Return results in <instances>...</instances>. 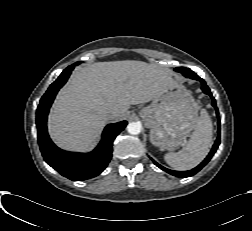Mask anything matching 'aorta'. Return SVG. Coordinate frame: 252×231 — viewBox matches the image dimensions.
Returning a JSON list of instances; mask_svg holds the SVG:
<instances>
[{
  "instance_id": "obj_1",
  "label": "aorta",
  "mask_w": 252,
  "mask_h": 231,
  "mask_svg": "<svg viewBox=\"0 0 252 231\" xmlns=\"http://www.w3.org/2000/svg\"><path fill=\"white\" fill-rule=\"evenodd\" d=\"M142 125L139 122H131L127 125V131L128 133L132 135H137L141 132Z\"/></svg>"
}]
</instances>
